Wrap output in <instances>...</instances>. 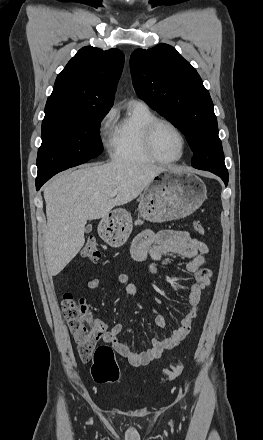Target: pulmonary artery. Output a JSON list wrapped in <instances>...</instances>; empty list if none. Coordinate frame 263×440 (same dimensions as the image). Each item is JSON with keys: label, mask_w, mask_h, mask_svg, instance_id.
<instances>
[{"label": "pulmonary artery", "mask_w": 263, "mask_h": 440, "mask_svg": "<svg viewBox=\"0 0 263 440\" xmlns=\"http://www.w3.org/2000/svg\"><path fill=\"white\" fill-rule=\"evenodd\" d=\"M131 103L145 104L143 101H140V100H133V101H131Z\"/></svg>", "instance_id": "obj_1"}]
</instances>
